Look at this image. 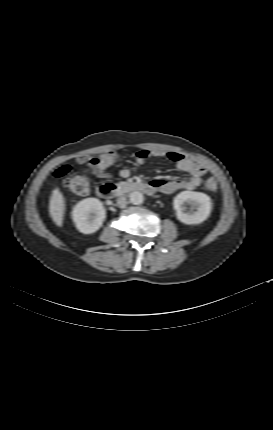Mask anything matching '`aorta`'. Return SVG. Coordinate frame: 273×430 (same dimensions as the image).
I'll use <instances>...</instances> for the list:
<instances>
[{"instance_id":"1","label":"aorta","mask_w":273,"mask_h":430,"mask_svg":"<svg viewBox=\"0 0 273 430\" xmlns=\"http://www.w3.org/2000/svg\"><path fill=\"white\" fill-rule=\"evenodd\" d=\"M129 198H130V202L133 205H141L144 202V196L139 191H134L130 193Z\"/></svg>"}]
</instances>
